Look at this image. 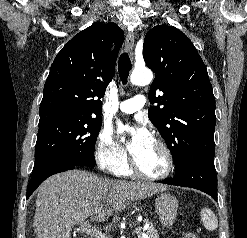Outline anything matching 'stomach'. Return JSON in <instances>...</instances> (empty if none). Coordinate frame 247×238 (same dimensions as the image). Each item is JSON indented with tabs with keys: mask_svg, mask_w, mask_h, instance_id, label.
I'll return each instance as SVG.
<instances>
[{
	"mask_svg": "<svg viewBox=\"0 0 247 238\" xmlns=\"http://www.w3.org/2000/svg\"><path fill=\"white\" fill-rule=\"evenodd\" d=\"M155 209L163 227L169 228L177 217L178 200L168 193H161L156 198Z\"/></svg>",
	"mask_w": 247,
	"mask_h": 238,
	"instance_id": "0dacf381",
	"label": "stomach"
}]
</instances>
